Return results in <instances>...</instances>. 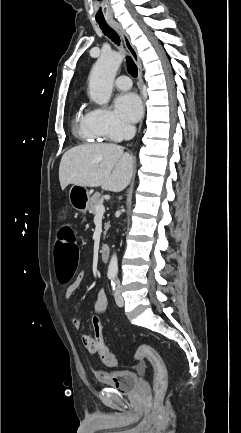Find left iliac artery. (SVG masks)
<instances>
[{"label": "left iliac artery", "mask_w": 241, "mask_h": 433, "mask_svg": "<svg viewBox=\"0 0 241 433\" xmlns=\"http://www.w3.org/2000/svg\"><path fill=\"white\" fill-rule=\"evenodd\" d=\"M111 285H112V289L115 290V282H114V278L111 281Z\"/></svg>", "instance_id": "1"}]
</instances>
